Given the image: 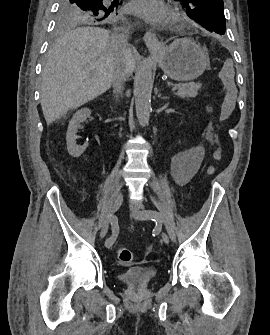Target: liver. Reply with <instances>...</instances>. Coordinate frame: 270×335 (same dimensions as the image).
I'll use <instances>...</instances> for the list:
<instances>
[{"label":"liver","mask_w":270,"mask_h":335,"mask_svg":"<svg viewBox=\"0 0 270 335\" xmlns=\"http://www.w3.org/2000/svg\"><path fill=\"white\" fill-rule=\"evenodd\" d=\"M134 72L133 48H125L104 28H75L51 46L41 82L47 124L111 88L115 70Z\"/></svg>","instance_id":"liver-1"}]
</instances>
